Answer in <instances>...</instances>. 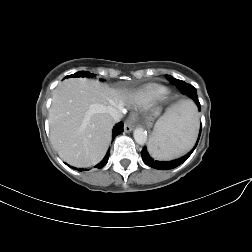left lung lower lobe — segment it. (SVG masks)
<instances>
[{
	"mask_svg": "<svg viewBox=\"0 0 252 252\" xmlns=\"http://www.w3.org/2000/svg\"><path fill=\"white\" fill-rule=\"evenodd\" d=\"M175 85L178 87V89L183 93V94H186L188 95L189 97H191L197 104L198 108L200 109V103H199V100H198V96H197V91H196V88L193 87L192 85L190 84H187L185 83L184 81L182 80H178L175 82ZM200 135H201V129H200V133H199V136H198V140H197V143L199 141V138H200ZM197 143L196 145L194 146V148L188 153L186 154L184 157H181L179 159H176V160H173V161H163V162H160V161H156L154 160L150 154L148 153L146 147L143 148V150L141 151V155H142V160L144 161V163L152 168H155V169H160V170H168V169H173L179 165H181L182 163H184L188 157L192 154V152L194 151V149L196 148L197 146Z\"/></svg>",
	"mask_w": 252,
	"mask_h": 252,
	"instance_id": "1",
	"label": "left lung lower lobe"
}]
</instances>
